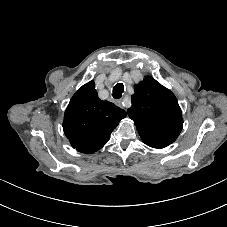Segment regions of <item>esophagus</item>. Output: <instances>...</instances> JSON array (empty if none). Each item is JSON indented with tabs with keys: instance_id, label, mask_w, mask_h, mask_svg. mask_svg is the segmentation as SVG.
Wrapping results in <instances>:
<instances>
[{
	"instance_id": "1",
	"label": "esophagus",
	"mask_w": 227,
	"mask_h": 227,
	"mask_svg": "<svg viewBox=\"0 0 227 227\" xmlns=\"http://www.w3.org/2000/svg\"><path fill=\"white\" fill-rule=\"evenodd\" d=\"M116 105L120 108H123V101L121 99L115 101Z\"/></svg>"
}]
</instances>
